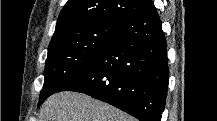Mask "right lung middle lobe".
<instances>
[{
    "label": "right lung middle lobe",
    "mask_w": 217,
    "mask_h": 121,
    "mask_svg": "<svg viewBox=\"0 0 217 121\" xmlns=\"http://www.w3.org/2000/svg\"><path fill=\"white\" fill-rule=\"evenodd\" d=\"M126 22L98 19L78 24L50 42L39 105L90 65Z\"/></svg>",
    "instance_id": "1"
}]
</instances>
